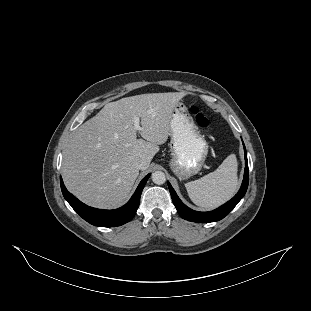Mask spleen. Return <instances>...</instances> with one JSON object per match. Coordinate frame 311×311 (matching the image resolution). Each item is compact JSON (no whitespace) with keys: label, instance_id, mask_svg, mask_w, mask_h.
<instances>
[{"label":"spleen","instance_id":"obj_1","mask_svg":"<svg viewBox=\"0 0 311 311\" xmlns=\"http://www.w3.org/2000/svg\"><path fill=\"white\" fill-rule=\"evenodd\" d=\"M238 163L230 154L213 172L185 184L192 202L205 209H214L233 197L238 189Z\"/></svg>","mask_w":311,"mask_h":311}]
</instances>
